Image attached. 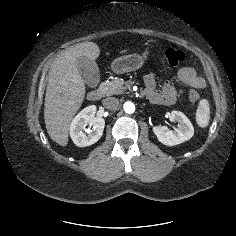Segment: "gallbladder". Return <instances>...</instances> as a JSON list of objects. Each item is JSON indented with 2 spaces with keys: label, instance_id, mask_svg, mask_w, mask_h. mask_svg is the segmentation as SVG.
Masks as SVG:
<instances>
[{
  "label": "gallbladder",
  "instance_id": "obj_1",
  "mask_svg": "<svg viewBox=\"0 0 236 236\" xmlns=\"http://www.w3.org/2000/svg\"><path fill=\"white\" fill-rule=\"evenodd\" d=\"M77 69L83 81L91 88H95L100 82L99 68L96 62L85 56L77 58Z\"/></svg>",
  "mask_w": 236,
  "mask_h": 236
}]
</instances>
